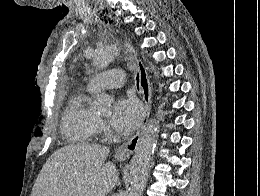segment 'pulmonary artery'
I'll use <instances>...</instances> for the list:
<instances>
[{
  "label": "pulmonary artery",
  "mask_w": 260,
  "mask_h": 196,
  "mask_svg": "<svg viewBox=\"0 0 260 196\" xmlns=\"http://www.w3.org/2000/svg\"><path fill=\"white\" fill-rule=\"evenodd\" d=\"M102 79H94L91 86L95 91L100 90H119V85H108V84H120L123 83L125 72L123 69H109L108 72L102 73Z\"/></svg>",
  "instance_id": "1"
}]
</instances>
